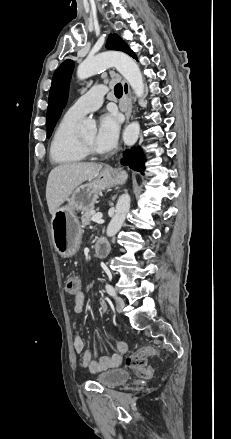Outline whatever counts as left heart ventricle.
Here are the masks:
<instances>
[{
  "instance_id": "b2bd125f",
  "label": "left heart ventricle",
  "mask_w": 231,
  "mask_h": 439,
  "mask_svg": "<svg viewBox=\"0 0 231 439\" xmlns=\"http://www.w3.org/2000/svg\"><path fill=\"white\" fill-rule=\"evenodd\" d=\"M81 137L84 139L85 142H87L89 145H91L92 147H95V132H89V133H85L82 134ZM97 150V149H96Z\"/></svg>"
}]
</instances>
